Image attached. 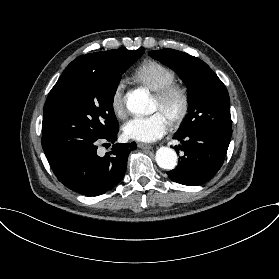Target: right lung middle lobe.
Returning a JSON list of instances; mask_svg holds the SVG:
<instances>
[{
  "instance_id": "1",
  "label": "right lung middle lobe",
  "mask_w": 279,
  "mask_h": 279,
  "mask_svg": "<svg viewBox=\"0 0 279 279\" xmlns=\"http://www.w3.org/2000/svg\"><path fill=\"white\" fill-rule=\"evenodd\" d=\"M144 52L124 50L105 70L66 68L46 100L42 147L47 158L104 138L118 126L113 100L121 75Z\"/></svg>"
}]
</instances>
